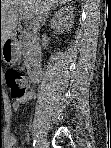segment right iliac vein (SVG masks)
Returning <instances> with one entry per match:
<instances>
[{
	"label": "right iliac vein",
	"mask_w": 111,
	"mask_h": 148,
	"mask_svg": "<svg viewBox=\"0 0 111 148\" xmlns=\"http://www.w3.org/2000/svg\"><path fill=\"white\" fill-rule=\"evenodd\" d=\"M34 135L38 139V144L42 147L43 146L42 144L44 143L45 139L43 138V135H42L41 131L36 133V134H34Z\"/></svg>",
	"instance_id": "1"
}]
</instances>
